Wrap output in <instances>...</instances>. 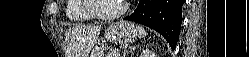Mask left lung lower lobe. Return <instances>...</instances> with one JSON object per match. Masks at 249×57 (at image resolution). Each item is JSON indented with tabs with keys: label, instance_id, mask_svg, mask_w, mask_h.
<instances>
[{
	"label": "left lung lower lobe",
	"instance_id": "0a47b994",
	"mask_svg": "<svg viewBox=\"0 0 249 57\" xmlns=\"http://www.w3.org/2000/svg\"><path fill=\"white\" fill-rule=\"evenodd\" d=\"M184 2L185 0H140L136 10L124 19L159 32L174 50L179 39Z\"/></svg>",
	"mask_w": 249,
	"mask_h": 57
}]
</instances>
